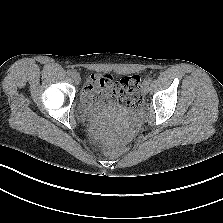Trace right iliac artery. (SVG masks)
<instances>
[{
    "mask_svg": "<svg viewBox=\"0 0 223 223\" xmlns=\"http://www.w3.org/2000/svg\"><path fill=\"white\" fill-rule=\"evenodd\" d=\"M67 74H68L69 76H71V75H73V72H72L71 70H68V71H67Z\"/></svg>",
    "mask_w": 223,
    "mask_h": 223,
    "instance_id": "1",
    "label": "right iliac artery"
}]
</instances>
